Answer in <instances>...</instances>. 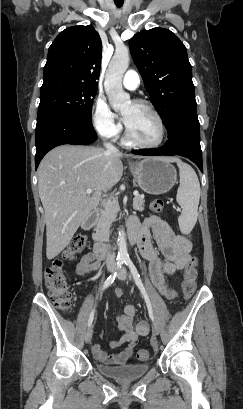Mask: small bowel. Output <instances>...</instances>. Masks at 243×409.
<instances>
[{"label":"small bowel","mask_w":243,"mask_h":409,"mask_svg":"<svg viewBox=\"0 0 243 409\" xmlns=\"http://www.w3.org/2000/svg\"><path fill=\"white\" fill-rule=\"evenodd\" d=\"M129 229L139 232L138 247L141 255L149 262L150 277L159 292L168 299H173L176 294L165 284V275H172L176 271L185 268L190 260L192 244L184 236L172 232L166 222L158 216H150L143 225H139L135 218L130 219ZM155 238L157 249L152 242ZM100 261L92 253L85 254L77 263L75 273L79 277L98 270ZM123 294L121 288L114 290V295L120 297ZM133 305H126L124 312L118 317V327L123 334L110 342L113 349L126 345L125 349L118 354H108L103 351L99 344L92 345V353L96 360L106 364H124L134 353L140 336L147 333V325L138 322L134 327Z\"/></svg>","instance_id":"1"}]
</instances>
